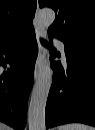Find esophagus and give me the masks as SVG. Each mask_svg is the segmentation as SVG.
Returning a JSON list of instances; mask_svg holds the SVG:
<instances>
[{
    "label": "esophagus",
    "instance_id": "obj_1",
    "mask_svg": "<svg viewBox=\"0 0 95 130\" xmlns=\"http://www.w3.org/2000/svg\"><path fill=\"white\" fill-rule=\"evenodd\" d=\"M38 11H39V7H38V1H37V10L35 13V18H34L35 25H36L35 30H36V36H37V42H38V56L36 59L35 70H34L35 80L37 79L41 69L43 68L44 60L46 58V50L40 42L41 38L46 37V31L38 19Z\"/></svg>",
    "mask_w": 95,
    "mask_h": 130
}]
</instances>
